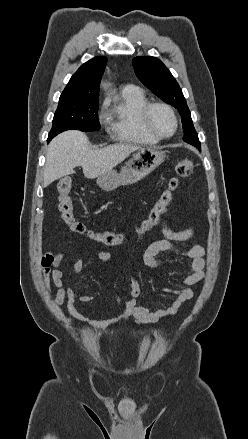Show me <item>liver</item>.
Returning a JSON list of instances; mask_svg holds the SVG:
<instances>
[{
    "label": "liver",
    "mask_w": 248,
    "mask_h": 439,
    "mask_svg": "<svg viewBox=\"0 0 248 439\" xmlns=\"http://www.w3.org/2000/svg\"><path fill=\"white\" fill-rule=\"evenodd\" d=\"M141 147L118 143L101 149H91L85 133L66 131L49 144L44 166V186L64 176L73 174L81 166L88 179L99 177L124 161Z\"/></svg>",
    "instance_id": "obj_1"
}]
</instances>
